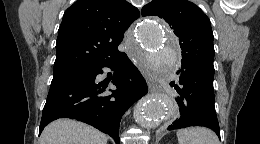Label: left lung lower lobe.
Segmentation results:
<instances>
[{"instance_id": "left-lung-lower-lobe-1", "label": "left lung lower lobe", "mask_w": 260, "mask_h": 144, "mask_svg": "<svg viewBox=\"0 0 260 144\" xmlns=\"http://www.w3.org/2000/svg\"><path fill=\"white\" fill-rule=\"evenodd\" d=\"M179 86L171 83L179 94L175 100L174 121L168 130L189 126H205L211 128L220 138V128L214 106V75L191 66L182 64Z\"/></svg>"}]
</instances>
